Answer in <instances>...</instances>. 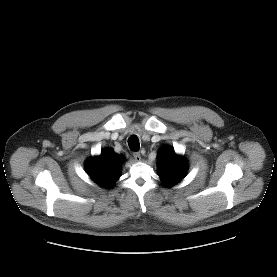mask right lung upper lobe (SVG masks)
<instances>
[{"mask_svg": "<svg viewBox=\"0 0 277 277\" xmlns=\"http://www.w3.org/2000/svg\"><path fill=\"white\" fill-rule=\"evenodd\" d=\"M123 157L108 149L100 156L91 157L86 162L87 174L102 187L111 188L120 177Z\"/></svg>", "mask_w": 277, "mask_h": 277, "instance_id": "right-lung-upper-lobe-1", "label": "right lung upper lobe"}]
</instances>
